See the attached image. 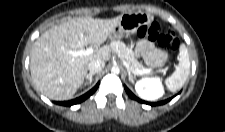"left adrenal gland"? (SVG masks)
Segmentation results:
<instances>
[{"label": "left adrenal gland", "instance_id": "a2214340", "mask_svg": "<svg viewBox=\"0 0 225 132\" xmlns=\"http://www.w3.org/2000/svg\"><path fill=\"white\" fill-rule=\"evenodd\" d=\"M128 77H129V81H131L133 83L134 82L133 75L130 71H128Z\"/></svg>", "mask_w": 225, "mask_h": 132}]
</instances>
